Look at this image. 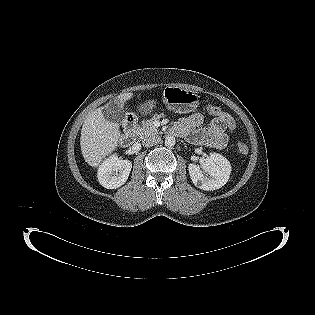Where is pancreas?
<instances>
[{
    "mask_svg": "<svg viewBox=\"0 0 315 315\" xmlns=\"http://www.w3.org/2000/svg\"><path fill=\"white\" fill-rule=\"evenodd\" d=\"M154 120H144L133 130V133L139 139H143L150 134H157L158 131L154 126Z\"/></svg>",
    "mask_w": 315,
    "mask_h": 315,
    "instance_id": "cf45deb5",
    "label": "pancreas"
}]
</instances>
